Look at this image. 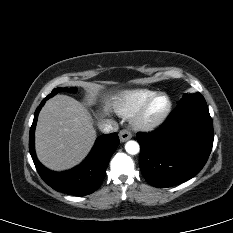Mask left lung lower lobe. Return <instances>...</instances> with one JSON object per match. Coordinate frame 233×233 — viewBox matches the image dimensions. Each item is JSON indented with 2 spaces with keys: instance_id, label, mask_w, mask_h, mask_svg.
<instances>
[{
  "instance_id": "left-lung-lower-lobe-1",
  "label": "left lung lower lobe",
  "mask_w": 233,
  "mask_h": 233,
  "mask_svg": "<svg viewBox=\"0 0 233 233\" xmlns=\"http://www.w3.org/2000/svg\"><path fill=\"white\" fill-rule=\"evenodd\" d=\"M213 124L205 99L177 105L163 125L152 133H138L139 165L155 187L183 183L204 167L213 146Z\"/></svg>"
}]
</instances>
